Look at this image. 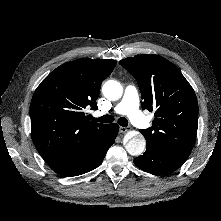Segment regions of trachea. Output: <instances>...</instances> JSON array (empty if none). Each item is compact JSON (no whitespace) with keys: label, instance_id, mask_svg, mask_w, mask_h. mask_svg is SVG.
Masks as SVG:
<instances>
[{"label":"trachea","instance_id":"trachea-1","mask_svg":"<svg viewBox=\"0 0 221 221\" xmlns=\"http://www.w3.org/2000/svg\"><path fill=\"white\" fill-rule=\"evenodd\" d=\"M94 120H96L97 122H101V123H112L114 121V117L111 115H104V116L94 119ZM118 124L123 127H127L128 120L124 117H121L118 119Z\"/></svg>","mask_w":221,"mask_h":221}]
</instances>
